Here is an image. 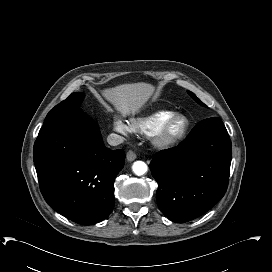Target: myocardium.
<instances>
[{
  "label": "myocardium",
  "mask_w": 272,
  "mask_h": 272,
  "mask_svg": "<svg viewBox=\"0 0 272 272\" xmlns=\"http://www.w3.org/2000/svg\"><path fill=\"white\" fill-rule=\"evenodd\" d=\"M178 122H181L182 126L178 130H175L174 126ZM188 129V120L181 115H174L154 134V141L164 147L171 146L182 140L185 137Z\"/></svg>",
  "instance_id": "obj_1"
}]
</instances>
